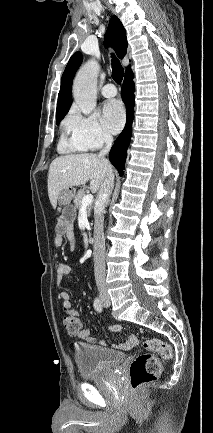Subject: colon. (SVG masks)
Listing matches in <instances>:
<instances>
[{"label": "colon", "mask_w": 213, "mask_h": 433, "mask_svg": "<svg viewBox=\"0 0 213 433\" xmlns=\"http://www.w3.org/2000/svg\"><path fill=\"white\" fill-rule=\"evenodd\" d=\"M63 325L70 335H76L82 328V320L77 312H68L63 316ZM113 333H119L120 327L111 326ZM148 353L138 355L129 367V384L132 390H137L146 383L154 381L159 376L163 361L172 358V348L167 342L150 338L143 342Z\"/></svg>", "instance_id": "colon-1"}]
</instances>
